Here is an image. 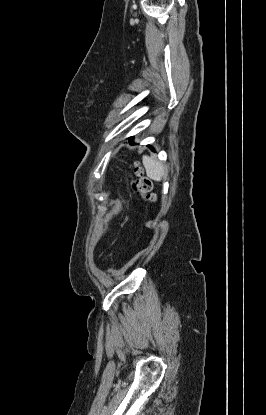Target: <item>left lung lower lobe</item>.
<instances>
[{"label":"left lung lower lobe","mask_w":266,"mask_h":415,"mask_svg":"<svg viewBox=\"0 0 266 415\" xmlns=\"http://www.w3.org/2000/svg\"><path fill=\"white\" fill-rule=\"evenodd\" d=\"M134 137H130L129 141L132 143L133 142Z\"/></svg>","instance_id":"obj_1"}]
</instances>
